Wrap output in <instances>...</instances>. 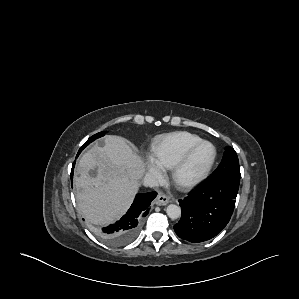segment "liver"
Segmentation results:
<instances>
[{"mask_svg": "<svg viewBox=\"0 0 299 299\" xmlns=\"http://www.w3.org/2000/svg\"><path fill=\"white\" fill-rule=\"evenodd\" d=\"M96 168V176L89 174ZM144 164L127 141L115 135L104 146L94 145L79 160L75 171L77 206L95 225L119 219L130 207L143 176Z\"/></svg>", "mask_w": 299, "mask_h": 299, "instance_id": "liver-1", "label": "liver"}]
</instances>
